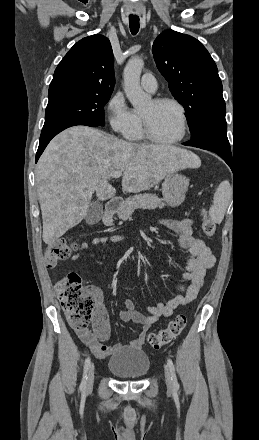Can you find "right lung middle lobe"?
Wrapping results in <instances>:
<instances>
[{"label": "right lung middle lobe", "mask_w": 259, "mask_h": 440, "mask_svg": "<svg viewBox=\"0 0 259 440\" xmlns=\"http://www.w3.org/2000/svg\"><path fill=\"white\" fill-rule=\"evenodd\" d=\"M111 94L112 92L82 90H69L50 94L43 127H49L68 120H79L104 126V106Z\"/></svg>", "instance_id": "dd1d6c3e"}]
</instances>
